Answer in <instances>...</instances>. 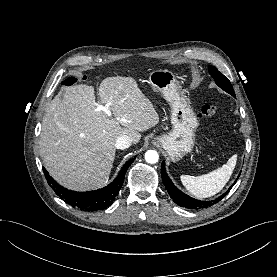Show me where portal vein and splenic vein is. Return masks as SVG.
<instances>
[{"label": "portal vein and splenic vein", "mask_w": 277, "mask_h": 277, "mask_svg": "<svg viewBox=\"0 0 277 277\" xmlns=\"http://www.w3.org/2000/svg\"><path fill=\"white\" fill-rule=\"evenodd\" d=\"M110 105H111L110 103H107L105 106L100 105L97 107V110L104 111L107 115L110 116L111 115V112L109 110Z\"/></svg>", "instance_id": "portal-vein-and-splenic-vein-1"}]
</instances>
